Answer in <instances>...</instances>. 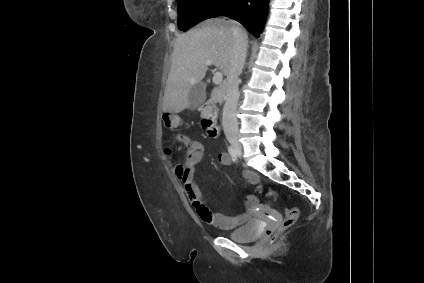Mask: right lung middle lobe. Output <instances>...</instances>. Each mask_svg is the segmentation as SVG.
Wrapping results in <instances>:
<instances>
[{"mask_svg":"<svg viewBox=\"0 0 424 283\" xmlns=\"http://www.w3.org/2000/svg\"><path fill=\"white\" fill-rule=\"evenodd\" d=\"M178 28L186 31L197 23L222 15L235 0H177Z\"/></svg>","mask_w":424,"mask_h":283,"instance_id":"right-lung-middle-lobe-1","label":"right lung middle lobe"}]
</instances>
